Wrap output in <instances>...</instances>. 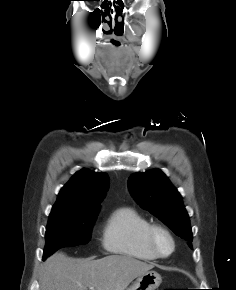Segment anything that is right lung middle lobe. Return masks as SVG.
Returning a JSON list of instances; mask_svg holds the SVG:
<instances>
[{"label": "right lung middle lobe", "mask_w": 236, "mask_h": 290, "mask_svg": "<svg viewBox=\"0 0 236 290\" xmlns=\"http://www.w3.org/2000/svg\"><path fill=\"white\" fill-rule=\"evenodd\" d=\"M97 214L50 215L45 234L43 260L59 248L87 244Z\"/></svg>", "instance_id": "1"}]
</instances>
